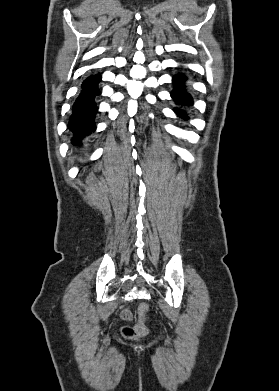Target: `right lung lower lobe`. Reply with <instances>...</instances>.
I'll use <instances>...</instances> for the list:
<instances>
[{"label":"right lung lower lobe","mask_w":279,"mask_h":391,"mask_svg":"<svg viewBox=\"0 0 279 391\" xmlns=\"http://www.w3.org/2000/svg\"><path fill=\"white\" fill-rule=\"evenodd\" d=\"M100 80V75L90 76L84 80L81 92L73 105L68 128L73 132L72 143L74 145H79L83 137L96 129L94 118L98 107L95 98L100 94L98 90Z\"/></svg>","instance_id":"obj_1"}]
</instances>
